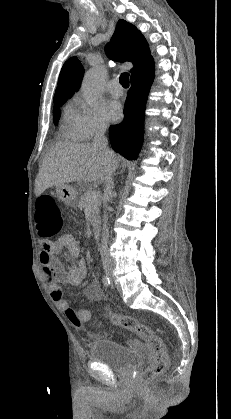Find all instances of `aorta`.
<instances>
[{"label":"aorta","instance_id":"1","mask_svg":"<svg viewBox=\"0 0 231 419\" xmlns=\"http://www.w3.org/2000/svg\"><path fill=\"white\" fill-rule=\"evenodd\" d=\"M104 79V70L100 67L91 69L85 75L81 91L85 99L92 103L98 96Z\"/></svg>","mask_w":231,"mask_h":419}]
</instances>
